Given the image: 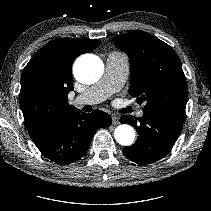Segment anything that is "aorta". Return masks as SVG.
<instances>
[{"label": "aorta", "mask_w": 211, "mask_h": 211, "mask_svg": "<svg viewBox=\"0 0 211 211\" xmlns=\"http://www.w3.org/2000/svg\"><path fill=\"white\" fill-rule=\"evenodd\" d=\"M103 63L95 55L87 54L79 57L73 67L75 78L84 84L97 82L103 74ZM116 141L123 146H129L134 142L135 131L127 124L119 125L114 131Z\"/></svg>", "instance_id": "aorta-1"}]
</instances>
